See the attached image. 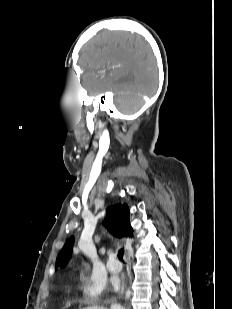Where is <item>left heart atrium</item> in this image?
<instances>
[{
    "label": "left heart atrium",
    "instance_id": "left-heart-atrium-1",
    "mask_svg": "<svg viewBox=\"0 0 232 309\" xmlns=\"http://www.w3.org/2000/svg\"><path fill=\"white\" fill-rule=\"evenodd\" d=\"M116 287H117L118 289L120 288L118 284L116 285Z\"/></svg>",
    "mask_w": 232,
    "mask_h": 309
}]
</instances>
